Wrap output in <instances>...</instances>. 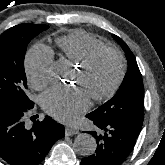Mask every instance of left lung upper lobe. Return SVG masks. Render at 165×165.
Listing matches in <instances>:
<instances>
[{
  "label": "left lung upper lobe",
  "mask_w": 165,
  "mask_h": 165,
  "mask_svg": "<svg viewBox=\"0 0 165 165\" xmlns=\"http://www.w3.org/2000/svg\"><path fill=\"white\" fill-rule=\"evenodd\" d=\"M113 37L126 53L127 73L115 96L87 116L100 121L119 122L141 128L144 117L142 76L127 44L118 36Z\"/></svg>",
  "instance_id": "5c2ea615"
}]
</instances>
